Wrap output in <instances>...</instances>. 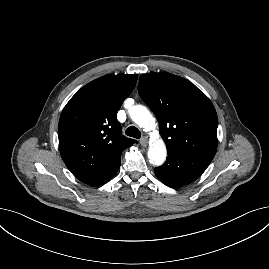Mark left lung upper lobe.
<instances>
[{
    "mask_svg": "<svg viewBox=\"0 0 269 269\" xmlns=\"http://www.w3.org/2000/svg\"><path fill=\"white\" fill-rule=\"evenodd\" d=\"M138 91L159 122L167 150L214 157L218 118L212 102L190 81L169 73L142 74Z\"/></svg>",
    "mask_w": 269,
    "mask_h": 269,
    "instance_id": "left-lung-upper-lobe-1",
    "label": "left lung upper lobe"
}]
</instances>
